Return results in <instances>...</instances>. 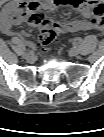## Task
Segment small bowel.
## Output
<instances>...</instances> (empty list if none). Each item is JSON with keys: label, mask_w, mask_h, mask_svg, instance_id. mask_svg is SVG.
I'll return each instance as SVG.
<instances>
[{"label": "small bowel", "mask_w": 104, "mask_h": 137, "mask_svg": "<svg viewBox=\"0 0 104 137\" xmlns=\"http://www.w3.org/2000/svg\"><path fill=\"white\" fill-rule=\"evenodd\" d=\"M70 7L82 13L86 20L72 23L57 24L46 17L40 23L31 18L39 13L40 9L54 11L59 7ZM41 13V12H40ZM104 6L98 0H31L12 1L4 5L0 13V29L5 35L22 39L28 36L26 31L14 32L13 25L31 24L41 29L54 27L61 34L73 32H96L103 27Z\"/></svg>", "instance_id": "small-bowel-1"}]
</instances>
